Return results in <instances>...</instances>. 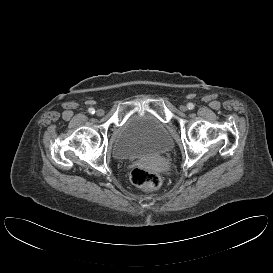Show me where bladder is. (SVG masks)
Here are the masks:
<instances>
[{
	"label": "bladder",
	"mask_w": 273,
	"mask_h": 273,
	"mask_svg": "<svg viewBox=\"0 0 273 273\" xmlns=\"http://www.w3.org/2000/svg\"><path fill=\"white\" fill-rule=\"evenodd\" d=\"M174 141L167 127L147 113L129 115L115 133L111 151L117 160L144 159L168 153Z\"/></svg>",
	"instance_id": "1"
}]
</instances>
